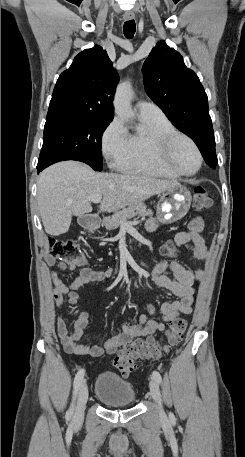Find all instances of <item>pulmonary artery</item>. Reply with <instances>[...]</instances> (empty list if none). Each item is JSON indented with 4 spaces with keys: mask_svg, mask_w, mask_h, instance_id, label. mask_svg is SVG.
I'll list each match as a JSON object with an SVG mask.
<instances>
[{
    "mask_svg": "<svg viewBox=\"0 0 245 457\" xmlns=\"http://www.w3.org/2000/svg\"><path fill=\"white\" fill-rule=\"evenodd\" d=\"M135 109L140 117H152L163 114L162 110L157 105L142 100L136 102Z\"/></svg>",
    "mask_w": 245,
    "mask_h": 457,
    "instance_id": "obj_1",
    "label": "pulmonary artery"
}]
</instances>
